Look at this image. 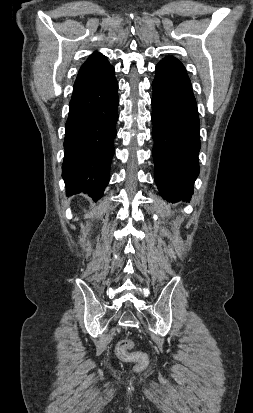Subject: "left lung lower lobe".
<instances>
[{
  "label": "left lung lower lobe",
  "mask_w": 253,
  "mask_h": 413,
  "mask_svg": "<svg viewBox=\"0 0 253 413\" xmlns=\"http://www.w3.org/2000/svg\"><path fill=\"white\" fill-rule=\"evenodd\" d=\"M152 82L154 179L168 201L189 200L199 174L200 123L192 85L175 57L162 59Z\"/></svg>",
  "instance_id": "1"
}]
</instances>
